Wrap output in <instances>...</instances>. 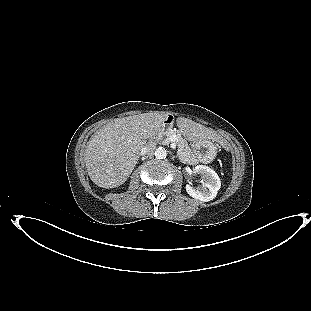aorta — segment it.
<instances>
[{
	"label": "aorta",
	"instance_id": "aorta-1",
	"mask_svg": "<svg viewBox=\"0 0 311 311\" xmlns=\"http://www.w3.org/2000/svg\"><path fill=\"white\" fill-rule=\"evenodd\" d=\"M154 155L157 159H165L167 156V151L165 148L159 147L155 150Z\"/></svg>",
	"mask_w": 311,
	"mask_h": 311
}]
</instances>
